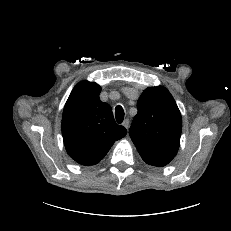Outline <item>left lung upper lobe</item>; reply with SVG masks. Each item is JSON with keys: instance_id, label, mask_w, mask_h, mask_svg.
Wrapping results in <instances>:
<instances>
[{"instance_id": "left-lung-upper-lobe-1", "label": "left lung upper lobe", "mask_w": 231, "mask_h": 231, "mask_svg": "<svg viewBox=\"0 0 231 231\" xmlns=\"http://www.w3.org/2000/svg\"><path fill=\"white\" fill-rule=\"evenodd\" d=\"M138 113L130 127V137L142 159L149 165L163 167L176 155L182 131L178 106L163 86L143 91Z\"/></svg>"}]
</instances>
